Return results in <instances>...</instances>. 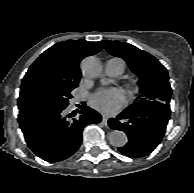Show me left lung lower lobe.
Segmentation results:
<instances>
[{
	"instance_id": "obj_1",
	"label": "left lung lower lobe",
	"mask_w": 194,
	"mask_h": 193,
	"mask_svg": "<svg viewBox=\"0 0 194 193\" xmlns=\"http://www.w3.org/2000/svg\"><path fill=\"white\" fill-rule=\"evenodd\" d=\"M170 105L160 104L140 109H125L116 118L108 121L115 130L124 131L128 143L118 150L130 157H143L150 154L161 142L168 120Z\"/></svg>"
}]
</instances>
